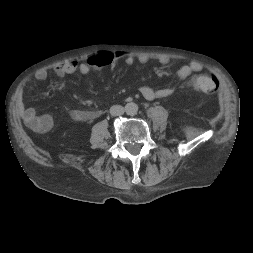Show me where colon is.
Listing matches in <instances>:
<instances>
[{
	"instance_id": "1",
	"label": "colon",
	"mask_w": 253,
	"mask_h": 253,
	"mask_svg": "<svg viewBox=\"0 0 253 253\" xmlns=\"http://www.w3.org/2000/svg\"><path fill=\"white\" fill-rule=\"evenodd\" d=\"M189 86L206 94H215L218 91L219 83L214 76L198 74L191 78Z\"/></svg>"
}]
</instances>
